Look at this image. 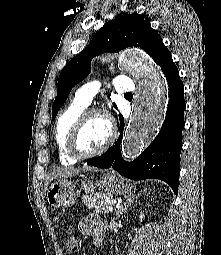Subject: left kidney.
<instances>
[{"instance_id": "left-kidney-1", "label": "left kidney", "mask_w": 221, "mask_h": 255, "mask_svg": "<svg viewBox=\"0 0 221 255\" xmlns=\"http://www.w3.org/2000/svg\"><path fill=\"white\" fill-rule=\"evenodd\" d=\"M144 217H145V214H144V213H141V214H140V218H139L140 222H142V220L144 219Z\"/></svg>"}]
</instances>
